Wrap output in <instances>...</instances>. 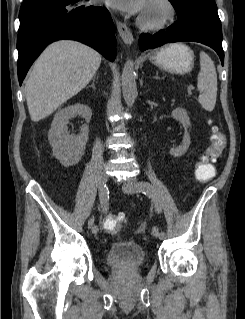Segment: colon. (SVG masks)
Returning <instances> with one entry per match:
<instances>
[{
	"mask_svg": "<svg viewBox=\"0 0 245 319\" xmlns=\"http://www.w3.org/2000/svg\"><path fill=\"white\" fill-rule=\"evenodd\" d=\"M225 147V138L223 133L215 126L212 127L210 144L207 151L201 155L198 164L195 167V177L197 180L206 182L211 180L215 173L214 163L220 158ZM127 216L124 213L109 215L104 223V229L111 234L118 235L122 225L126 222Z\"/></svg>",
	"mask_w": 245,
	"mask_h": 319,
	"instance_id": "5ec220e1",
	"label": "colon"
}]
</instances>
